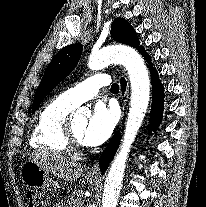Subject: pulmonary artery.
Wrapping results in <instances>:
<instances>
[{"mask_svg": "<svg viewBox=\"0 0 206 207\" xmlns=\"http://www.w3.org/2000/svg\"><path fill=\"white\" fill-rule=\"evenodd\" d=\"M110 81L109 75L97 74L68 89L61 96L73 107H78L83 102L96 96L99 89L102 86H107Z\"/></svg>", "mask_w": 206, "mask_h": 207, "instance_id": "1", "label": "pulmonary artery"}]
</instances>
